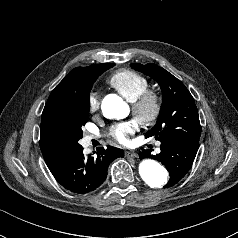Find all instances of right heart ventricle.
<instances>
[{
	"mask_svg": "<svg viewBox=\"0 0 238 238\" xmlns=\"http://www.w3.org/2000/svg\"><path fill=\"white\" fill-rule=\"evenodd\" d=\"M107 82L129 101L135 100L149 86L146 77L128 69L112 73Z\"/></svg>",
	"mask_w": 238,
	"mask_h": 238,
	"instance_id": "right-heart-ventricle-1",
	"label": "right heart ventricle"
}]
</instances>
